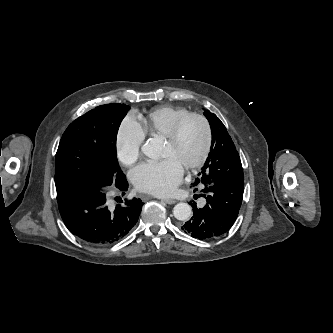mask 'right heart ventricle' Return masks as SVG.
Masks as SVG:
<instances>
[{
    "instance_id": "e07e8e85",
    "label": "right heart ventricle",
    "mask_w": 333,
    "mask_h": 333,
    "mask_svg": "<svg viewBox=\"0 0 333 333\" xmlns=\"http://www.w3.org/2000/svg\"><path fill=\"white\" fill-rule=\"evenodd\" d=\"M183 107L163 106L155 108L141 119V127L146 136L165 137L174 123L181 117L189 114Z\"/></svg>"
}]
</instances>
